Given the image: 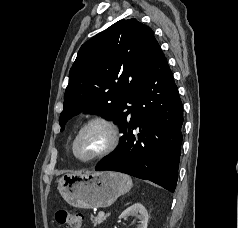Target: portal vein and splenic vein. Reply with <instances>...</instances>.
<instances>
[{"mask_svg":"<svg viewBox=\"0 0 238 228\" xmlns=\"http://www.w3.org/2000/svg\"><path fill=\"white\" fill-rule=\"evenodd\" d=\"M98 215H99V216H104V215H105V212L100 211V212L98 213Z\"/></svg>","mask_w":238,"mask_h":228,"instance_id":"obj_1","label":"portal vein and splenic vein"}]
</instances>
